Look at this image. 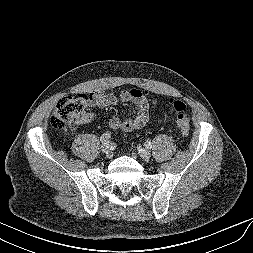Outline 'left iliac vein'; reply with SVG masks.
I'll return each instance as SVG.
<instances>
[{"label":"left iliac vein","mask_w":253,"mask_h":253,"mask_svg":"<svg viewBox=\"0 0 253 253\" xmlns=\"http://www.w3.org/2000/svg\"><path fill=\"white\" fill-rule=\"evenodd\" d=\"M138 152H139L140 157H141L143 160H145V161H148V160L150 159V157H151L150 152H149L148 150L144 149V148H140V149L138 150Z\"/></svg>","instance_id":"4c4485c4"}]
</instances>
